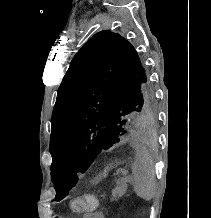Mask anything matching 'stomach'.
Returning a JSON list of instances; mask_svg holds the SVG:
<instances>
[{"label": "stomach", "instance_id": "1", "mask_svg": "<svg viewBox=\"0 0 211 218\" xmlns=\"http://www.w3.org/2000/svg\"><path fill=\"white\" fill-rule=\"evenodd\" d=\"M108 170H109V168L107 167V168L104 170V172H103V176H106V174H107ZM97 179H98V178H97ZM97 179H96V181H95V182H97V181H98Z\"/></svg>", "mask_w": 211, "mask_h": 218}]
</instances>
